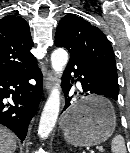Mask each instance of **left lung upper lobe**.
<instances>
[{
	"label": "left lung upper lobe",
	"mask_w": 130,
	"mask_h": 153,
	"mask_svg": "<svg viewBox=\"0 0 130 153\" xmlns=\"http://www.w3.org/2000/svg\"><path fill=\"white\" fill-rule=\"evenodd\" d=\"M57 42L68 49L71 58L85 60L100 69L112 87L119 92L114 51L99 28L81 17L67 14L57 26L55 43Z\"/></svg>",
	"instance_id": "1"
}]
</instances>
